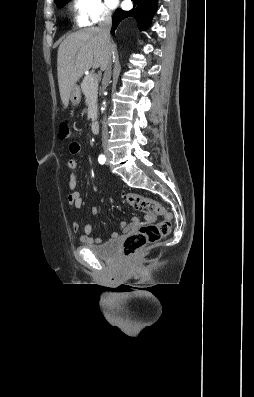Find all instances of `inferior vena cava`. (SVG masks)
<instances>
[{
	"label": "inferior vena cava",
	"mask_w": 254,
	"mask_h": 397,
	"mask_svg": "<svg viewBox=\"0 0 254 397\" xmlns=\"http://www.w3.org/2000/svg\"><path fill=\"white\" fill-rule=\"evenodd\" d=\"M111 23H112L111 16L107 13L103 14L102 20L99 23V32L102 37V40L104 41L105 45L108 47L111 45V40H110ZM111 57L112 55H109L107 65L105 67V72H104L105 87L108 86L111 79ZM107 144H108V128H107L106 119H104L103 127H102V146L104 150L107 149Z\"/></svg>",
	"instance_id": "1"
}]
</instances>
